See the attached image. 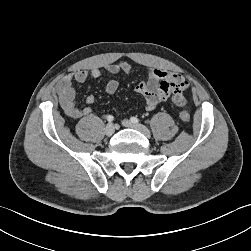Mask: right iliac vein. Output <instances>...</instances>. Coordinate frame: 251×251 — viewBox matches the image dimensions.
Here are the masks:
<instances>
[{
	"mask_svg": "<svg viewBox=\"0 0 251 251\" xmlns=\"http://www.w3.org/2000/svg\"><path fill=\"white\" fill-rule=\"evenodd\" d=\"M115 132V127L112 123H109L105 127V134L106 136H112Z\"/></svg>",
	"mask_w": 251,
	"mask_h": 251,
	"instance_id": "right-iliac-vein-1",
	"label": "right iliac vein"
}]
</instances>
